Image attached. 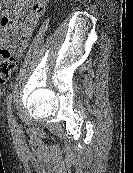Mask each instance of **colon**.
Returning a JSON list of instances; mask_svg holds the SVG:
<instances>
[{
	"instance_id": "colon-1",
	"label": "colon",
	"mask_w": 133,
	"mask_h": 173,
	"mask_svg": "<svg viewBox=\"0 0 133 173\" xmlns=\"http://www.w3.org/2000/svg\"><path fill=\"white\" fill-rule=\"evenodd\" d=\"M17 66L15 49L0 47V83H5Z\"/></svg>"
}]
</instances>
